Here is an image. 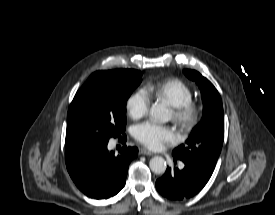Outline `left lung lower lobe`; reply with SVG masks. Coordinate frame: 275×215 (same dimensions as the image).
Returning a JSON list of instances; mask_svg holds the SVG:
<instances>
[{
    "mask_svg": "<svg viewBox=\"0 0 275 215\" xmlns=\"http://www.w3.org/2000/svg\"><path fill=\"white\" fill-rule=\"evenodd\" d=\"M182 170L167 167L156 181L158 192L171 200L189 199L198 194L210 179L213 170L193 162H184Z\"/></svg>",
    "mask_w": 275,
    "mask_h": 215,
    "instance_id": "obj_1",
    "label": "left lung lower lobe"
}]
</instances>
